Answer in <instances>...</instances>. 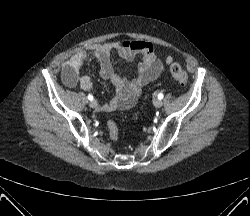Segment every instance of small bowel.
<instances>
[{"label": "small bowel", "instance_id": "1", "mask_svg": "<svg viewBox=\"0 0 250 216\" xmlns=\"http://www.w3.org/2000/svg\"><path fill=\"white\" fill-rule=\"evenodd\" d=\"M113 51L128 61L133 60L137 55H141V61L134 77H126L114 70L111 64V53ZM89 56L94 57L99 62L100 76L109 80L114 88V97L101 104V109L104 111L131 108L143 89L160 78L163 73V65L157 58L150 42L143 40L113 41L93 44L68 56L62 65V80L65 86L74 88L79 85L84 91L93 90L90 77L79 75L81 66Z\"/></svg>", "mask_w": 250, "mask_h": 216}]
</instances>
